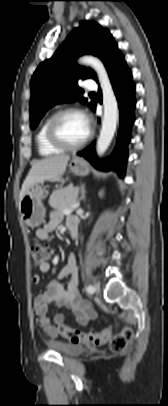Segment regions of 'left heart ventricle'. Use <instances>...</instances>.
Masks as SVG:
<instances>
[{
    "label": "left heart ventricle",
    "instance_id": "1",
    "mask_svg": "<svg viewBox=\"0 0 168 406\" xmlns=\"http://www.w3.org/2000/svg\"><path fill=\"white\" fill-rule=\"evenodd\" d=\"M59 137L67 143H77L84 139L89 130L85 118L81 114L69 113L64 115L57 124Z\"/></svg>",
    "mask_w": 168,
    "mask_h": 406
}]
</instances>
